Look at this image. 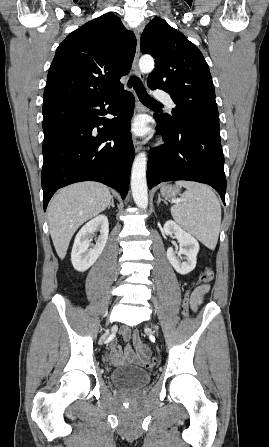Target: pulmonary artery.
I'll use <instances>...</instances> for the list:
<instances>
[{"label": "pulmonary artery", "instance_id": "e3ab8cb5", "mask_svg": "<svg viewBox=\"0 0 269 447\" xmlns=\"http://www.w3.org/2000/svg\"><path fill=\"white\" fill-rule=\"evenodd\" d=\"M156 99H162L168 105L169 108H174L175 105L170 97H167L166 90H156L154 93Z\"/></svg>", "mask_w": 269, "mask_h": 447}]
</instances>
